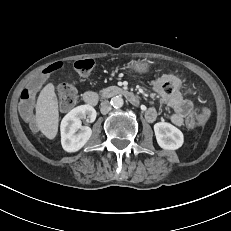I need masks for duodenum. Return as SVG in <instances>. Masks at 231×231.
Listing matches in <instances>:
<instances>
[{
    "label": "duodenum",
    "instance_id": "1",
    "mask_svg": "<svg viewBox=\"0 0 231 231\" xmlns=\"http://www.w3.org/2000/svg\"><path fill=\"white\" fill-rule=\"evenodd\" d=\"M114 96H124L132 104L134 105L139 104V99L134 93L118 86L106 87L103 90H101L100 93L88 91L84 94V101L86 104L90 106H96L101 99H107Z\"/></svg>",
    "mask_w": 231,
    "mask_h": 231
}]
</instances>
